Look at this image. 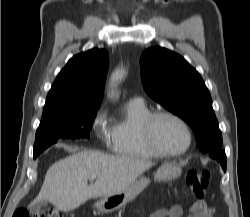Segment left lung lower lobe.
Masks as SVG:
<instances>
[{
	"instance_id": "0a47b994",
	"label": "left lung lower lobe",
	"mask_w": 250,
	"mask_h": 217,
	"mask_svg": "<svg viewBox=\"0 0 250 217\" xmlns=\"http://www.w3.org/2000/svg\"><path fill=\"white\" fill-rule=\"evenodd\" d=\"M209 156L213 159H216L218 162H220L222 168L224 171H226V155L224 151H216L208 153Z\"/></svg>"
}]
</instances>
